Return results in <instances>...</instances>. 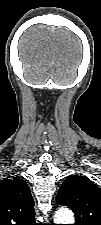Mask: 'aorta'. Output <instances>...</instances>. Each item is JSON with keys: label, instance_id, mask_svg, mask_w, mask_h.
<instances>
[{"label": "aorta", "instance_id": "762f6f07", "mask_svg": "<svg viewBox=\"0 0 101 225\" xmlns=\"http://www.w3.org/2000/svg\"><path fill=\"white\" fill-rule=\"evenodd\" d=\"M55 224H74V217L68 208H60L54 215Z\"/></svg>", "mask_w": 101, "mask_h": 225}]
</instances>
